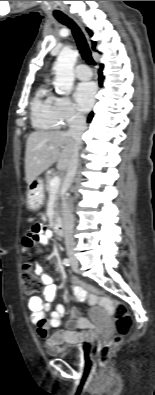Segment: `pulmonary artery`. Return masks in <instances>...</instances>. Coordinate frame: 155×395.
<instances>
[{
  "label": "pulmonary artery",
  "mask_w": 155,
  "mask_h": 395,
  "mask_svg": "<svg viewBox=\"0 0 155 395\" xmlns=\"http://www.w3.org/2000/svg\"><path fill=\"white\" fill-rule=\"evenodd\" d=\"M76 76L81 80H88L92 76L90 68L85 64H79L75 68Z\"/></svg>",
  "instance_id": "obj_1"
}]
</instances>
